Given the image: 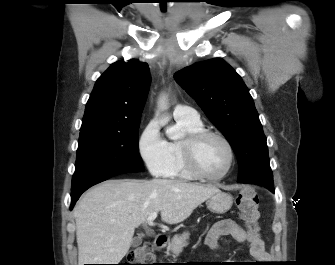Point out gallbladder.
Here are the masks:
<instances>
[{"instance_id": "obj_1", "label": "gallbladder", "mask_w": 335, "mask_h": 265, "mask_svg": "<svg viewBox=\"0 0 335 265\" xmlns=\"http://www.w3.org/2000/svg\"><path fill=\"white\" fill-rule=\"evenodd\" d=\"M142 243V235H137L136 237L133 238L131 246L136 248L138 246H140Z\"/></svg>"}]
</instances>
